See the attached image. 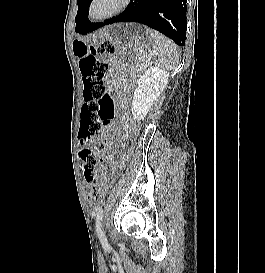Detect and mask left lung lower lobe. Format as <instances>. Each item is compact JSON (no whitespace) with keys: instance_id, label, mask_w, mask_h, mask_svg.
<instances>
[{"instance_id":"obj_1","label":"left lung lower lobe","mask_w":265,"mask_h":273,"mask_svg":"<svg viewBox=\"0 0 265 273\" xmlns=\"http://www.w3.org/2000/svg\"><path fill=\"white\" fill-rule=\"evenodd\" d=\"M187 0H131L128 8L119 16L103 23L84 22L80 34H87L103 25L117 22H138L145 24L167 37L177 45L184 46L186 41Z\"/></svg>"}]
</instances>
